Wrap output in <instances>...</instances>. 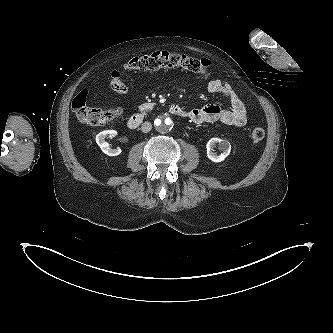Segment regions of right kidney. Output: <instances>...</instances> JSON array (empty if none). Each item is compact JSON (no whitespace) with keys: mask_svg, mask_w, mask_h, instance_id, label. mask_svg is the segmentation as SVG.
Wrapping results in <instances>:
<instances>
[{"mask_svg":"<svg viewBox=\"0 0 333 333\" xmlns=\"http://www.w3.org/2000/svg\"><path fill=\"white\" fill-rule=\"evenodd\" d=\"M108 134L115 136L117 132L115 130H105L96 135V143L100 146L103 153L109 156H117L121 153V149H112L109 144L105 142V138Z\"/></svg>","mask_w":333,"mask_h":333,"instance_id":"obj_1","label":"right kidney"}]
</instances>
